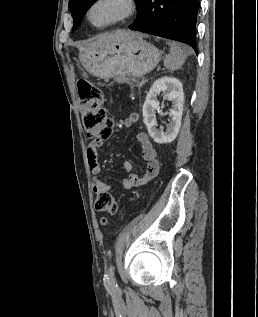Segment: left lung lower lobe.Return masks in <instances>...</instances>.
<instances>
[{
  "label": "left lung lower lobe",
  "mask_w": 258,
  "mask_h": 317,
  "mask_svg": "<svg viewBox=\"0 0 258 317\" xmlns=\"http://www.w3.org/2000/svg\"><path fill=\"white\" fill-rule=\"evenodd\" d=\"M200 0H144L131 30L176 40L196 52V22Z\"/></svg>",
  "instance_id": "0a47b994"
}]
</instances>
